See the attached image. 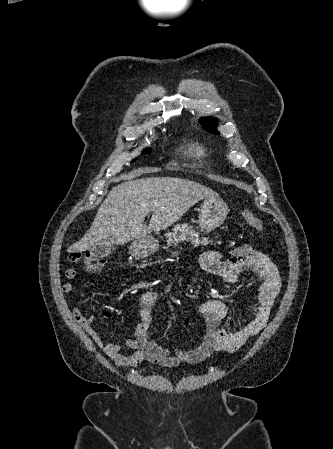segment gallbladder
Instances as JSON below:
<instances>
[{
    "instance_id": "obj_1",
    "label": "gallbladder",
    "mask_w": 333,
    "mask_h": 449,
    "mask_svg": "<svg viewBox=\"0 0 333 449\" xmlns=\"http://www.w3.org/2000/svg\"><path fill=\"white\" fill-rule=\"evenodd\" d=\"M114 250L115 246L113 244L101 243L92 248L91 253L95 257L104 258L110 255Z\"/></svg>"
}]
</instances>
